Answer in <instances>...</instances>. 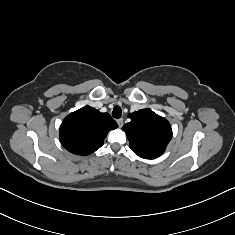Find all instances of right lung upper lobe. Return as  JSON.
<instances>
[{
	"label": "right lung upper lobe",
	"mask_w": 235,
	"mask_h": 235,
	"mask_svg": "<svg viewBox=\"0 0 235 235\" xmlns=\"http://www.w3.org/2000/svg\"><path fill=\"white\" fill-rule=\"evenodd\" d=\"M117 123L108 113L85 106L69 114L60 127V141L71 153L86 156L99 149Z\"/></svg>",
	"instance_id": "obj_1"
}]
</instances>
